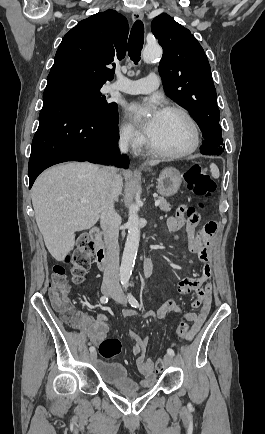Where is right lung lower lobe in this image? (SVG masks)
Wrapping results in <instances>:
<instances>
[{
  "label": "right lung lower lobe",
  "mask_w": 265,
  "mask_h": 434,
  "mask_svg": "<svg viewBox=\"0 0 265 434\" xmlns=\"http://www.w3.org/2000/svg\"><path fill=\"white\" fill-rule=\"evenodd\" d=\"M117 123L91 119L60 95L43 96L29 159V188L42 171L61 162L115 163L127 168L129 160L120 158L116 148Z\"/></svg>",
  "instance_id": "1"
}]
</instances>
